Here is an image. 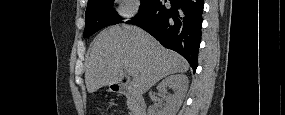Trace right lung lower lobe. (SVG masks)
<instances>
[{
	"mask_svg": "<svg viewBox=\"0 0 285 115\" xmlns=\"http://www.w3.org/2000/svg\"><path fill=\"white\" fill-rule=\"evenodd\" d=\"M154 0L126 23L137 25L164 47L184 56L193 71L197 68L201 42L203 0Z\"/></svg>",
	"mask_w": 285,
	"mask_h": 115,
	"instance_id": "right-lung-lower-lobe-1",
	"label": "right lung lower lobe"
}]
</instances>
